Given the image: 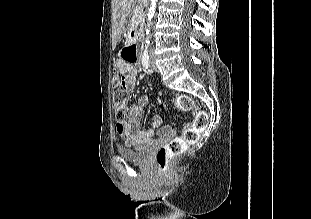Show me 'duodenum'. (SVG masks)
<instances>
[{
	"label": "duodenum",
	"mask_w": 311,
	"mask_h": 219,
	"mask_svg": "<svg viewBox=\"0 0 311 219\" xmlns=\"http://www.w3.org/2000/svg\"><path fill=\"white\" fill-rule=\"evenodd\" d=\"M129 50H133L136 54H138V41H139V33L137 28H133L128 32L127 35Z\"/></svg>",
	"instance_id": "1"
}]
</instances>
